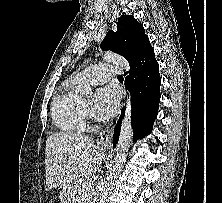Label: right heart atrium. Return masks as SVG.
Wrapping results in <instances>:
<instances>
[{
    "label": "right heart atrium",
    "instance_id": "1",
    "mask_svg": "<svg viewBox=\"0 0 222 203\" xmlns=\"http://www.w3.org/2000/svg\"><path fill=\"white\" fill-rule=\"evenodd\" d=\"M86 113H87V117L88 118H91L92 117V113L89 109L86 110Z\"/></svg>",
    "mask_w": 222,
    "mask_h": 203
}]
</instances>
